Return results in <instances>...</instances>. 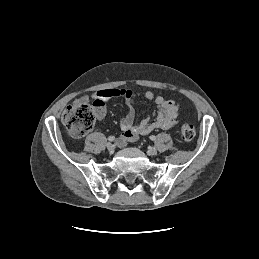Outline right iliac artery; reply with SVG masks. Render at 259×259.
<instances>
[{"instance_id": "obj_1", "label": "right iliac artery", "mask_w": 259, "mask_h": 259, "mask_svg": "<svg viewBox=\"0 0 259 259\" xmlns=\"http://www.w3.org/2000/svg\"><path fill=\"white\" fill-rule=\"evenodd\" d=\"M108 140H109V141H114V140H115V137H114V136H109V137H108Z\"/></svg>"}]
</instances>
